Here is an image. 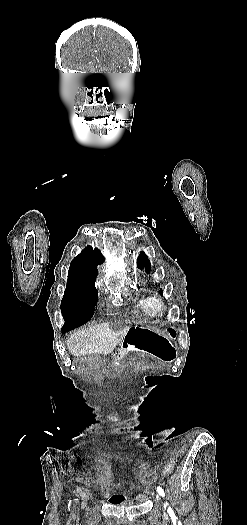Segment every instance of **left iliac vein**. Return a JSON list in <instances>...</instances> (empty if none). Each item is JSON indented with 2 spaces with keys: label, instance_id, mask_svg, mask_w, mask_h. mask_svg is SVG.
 Here are the masks:
<instances>
[{
  "label": "left iliac vein",
  "instance_id": "4c4485c4",
  "mask_svg": "<svg viewBox=\"0 0 247 525\" xmlns=\"http://www.w3.org/2000/svg\"><path fill=\"white\" fill-rule=\"evenodd\" d=\"M156 498L159 500V499H160V495L157 494V495H156Z\"/></svg>",
  "mask_w": 247,
  "mask_h": 525
}]
</instances>
